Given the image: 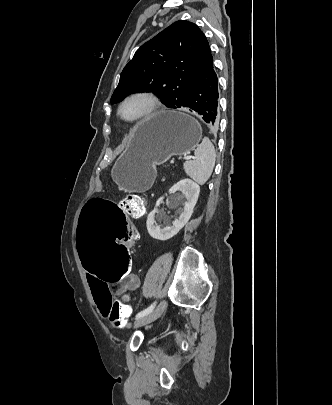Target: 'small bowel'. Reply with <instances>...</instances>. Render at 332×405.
<instances>
[{"label": "small bowel", "mask_w": 332, "mask_h": 405, "mask_svg": "<svg viewBox=\"0 0 332 405\" xmlns=\"http://www.w3.org/2000/svg\"><path fill=\"white\" fill-rule=\"evenodd\" d=\"M137 238L139 239V234ZM87 279L96 306L105 318H107V308L113 293L122 296L125 306L131 307L128 304L130 295L140 286L139 276L132 272H130V275H126L124 281H118L116 285H111L110 281H100L99 275H87Z\"/></svg>", "instance_id": "1"}]
</instances>
